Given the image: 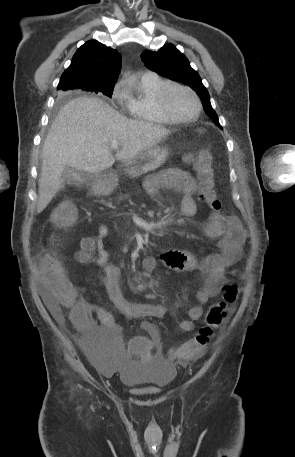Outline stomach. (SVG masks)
Listing matches in <instances>:
<instances>
[{
    "mask_svg": "<svg viewBox=\"0 0 295 457\" xmlns=\"http://www.w3.org/2000/svg\"><path fill=\"white\" fill-rule=\"evenodd\" d=\"M169 156L167 145L160 143L150 147L132 159L124 162V171L130 177H137L152 171L162 165ZM117 186L116 171L109 170L99 175L93 182L92 188L98 194H109Z\"/></svg>",
    "mask_w": 295,
    "mask_h": 457,
    "instance_id": "stomach-1",
    "label": "stomach"
}]
</instances>
